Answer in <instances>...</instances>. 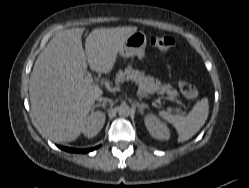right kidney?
Listing matches in <instances>:
<instances>
[{"label":"right kidney","instance_id":"obj_1","mask_svg":"<svg viewBox=\"0 0 249 188\" xmlns=\"http://www.w3.org/2000/svg\"><path fill=\"white\" fill-rule=\"evenodd\" d=\"M105 123V114L100 111H92L91 114L85 119L84 126L82 128V133L87 138H92L96 136Z\"/></svg>","mask_w":249,"mask_h":188}]
</instances>
